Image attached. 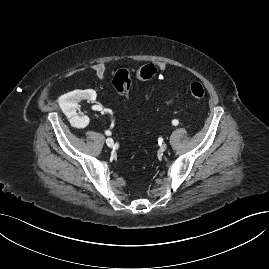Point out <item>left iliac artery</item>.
Listing matches in <instances>:
<instances>
[{
  "label": "left iliac artery",
  "mask_w": 269,
  "mask_h": 269,
  "mask_svg": "<svg viewBox=\"0 0 269 269\" xmlns=\"http://www.w3.org/2000/svg\"><path fill=\"white\" fill-rule=\"evenodd\" d=\"M172 124H173L174 126H176V125L179 124V121H178L177 119H174V120L172 121Z\"/></svg>",
  "instance_id": "44dca946"
}]
</instances>
